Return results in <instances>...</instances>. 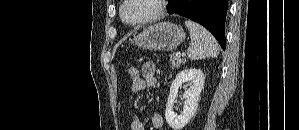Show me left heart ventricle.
<instances>
[{
	"instance_id": "obj_1",
	"label": "left heart ventricle",
	"mask_w": 299,
	"mask_h": 130,
	"mask_svg": "<svg viewBox=\"0 0 299 130\" xmlns=\"http://www.w3.org/2000/svg\"><path fill=\"white\" fill-rule=\"evenodd\" d=\"M153 10V6L147 3H135L128 6L125 10V18L129 21H133L144 17Z\"/></svg>"
}]
</instances>
